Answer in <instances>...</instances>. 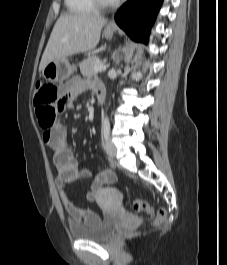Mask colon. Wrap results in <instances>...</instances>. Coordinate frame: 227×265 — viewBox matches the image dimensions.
<instances>
[{
  "mask_svg": "<svg viewBox=\"0 0 227 265\" xmlns=\"http://www.w3.org/2000/svg\"><path fill=\"white\" fill-rule=\"evenodd\" d=\"M58 99H65V97L61 95L58 86L43 82L36 83L34 104L39 124L44 130L48 129L55 122V118L59 113L57 111ZM130 206L135 212H145L150 215L154 214L151 206L144 200H133ZM166 216V210L160 208L154 217V224L160 226L165 221Z\"/></svg>",
  "mask_w": 227,
  "mask_h": 265,
  "instance_id": "5ec220e1",
  "label": "colon"
}]
</instances>
